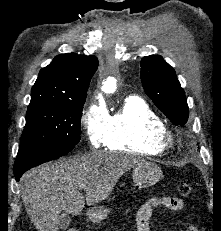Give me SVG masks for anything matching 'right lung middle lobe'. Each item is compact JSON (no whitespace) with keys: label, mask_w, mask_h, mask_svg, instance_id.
<instances>
[{"label":"right lung middle lobe","mask_w":221,"mask_h":231,"mask_svg":"<svg viewBox=\"0 0 221 231\" xmlns=\"http://www.w3.org/2000/svg\"><path fill=\"white\" fill-rule=\"evenodd\" d=\"M85 98L29 105L15 165L45 151L73 149L80 141Z\"/></svg>","instance_id":"right-lung-middle-lobe-1"}]
</instances>
